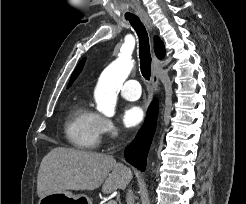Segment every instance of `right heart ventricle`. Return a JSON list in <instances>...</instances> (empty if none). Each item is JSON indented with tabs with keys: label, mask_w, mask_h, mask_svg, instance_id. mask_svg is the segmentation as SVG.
<instances>
[{
	"label": "right heart ventricle",
	"mask_w": 246,
	"mask_h": 204,
	"mask_svg": "<svg viewBox=\"0 0 246 204\" xmlns=\"http://www.w3.org/2000/svg\"><path fill=\"white\" fill-rule=\"evenodd\" d=\"M65 135L73 147L94 150L101 141L102 117L85 101H77L71 106L66 118Z\"/></svg>",
	"instance_id": "obj_1"
}]
</instances>
